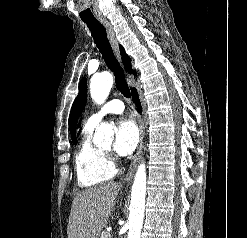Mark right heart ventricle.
I'll return each instance as SVG.
<instances>
[{
	"label": "right heart ventricle",
	"instance_id": "obj_1",
	"mask_svg": "<svg viewBox=\"0 0 247 238\" xmlns=\"http://www.w3.org/2000/svg\"><path fill=\"white\" fill-rule=\"evenodd\" d=\"M94 127L85 125L82 140L75 156V170L80 187L102 184L116 174V168L107 154L92 142Z\"/></svg>",
	"mask_w": 247,
	"mask_h": 238
}]
</instances>
